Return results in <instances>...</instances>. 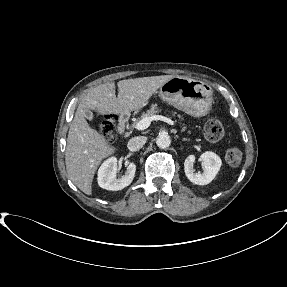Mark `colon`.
<instances>
[{
	"label": "colon",
	"instance_id": "obj_1",
	"mask_svg": "<svg viewBox=\"0 0 287 287\" xmlns=\"http://www.w3.org/2000/svg\"><path fill=\"white\" fill-rule=\"evenodd\" d=\"M114 115H108L104 118L99 126L100 133L110 141L114 135ZM205 137L213 142L221 140L224 136V128L221 122L217 119H210L204 125ZM225 161L231 166H237L242 160V151L235 146L228 147L224 152Z\"/></svg>",
	"mask_w": 287,
	"mask_h": 287
}]
</instances>
